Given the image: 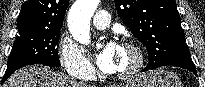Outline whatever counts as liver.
<instances>
[{
	"instance_id": "liver-1",
	"label": "liver",
	"mask_w": 205,
	"mask_h": 87,
	"mask_svg": "<svg viewBox=\"0 0 205 87\" xmlns=\"http://www.w3.org/2000/svg\"><path fill=\"white\" fill-rule=\"evenodd\" d=\"M3 87H87L68 76L58 74L47 66L33 65L14 72Z\"/></svg>"
}]
</instances>
